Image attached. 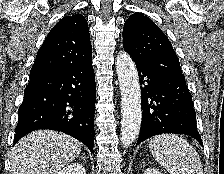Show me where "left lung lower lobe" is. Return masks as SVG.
<instances>
[{
	"label": "left lung lower lobe",
	"mask_w": 224,
	"mask_h": 174,
	"mask_svg": "<svg viewBox=\"0 0 224 174\" xmlns=\"http://www.w3.org/2000/svg\"><path fill=\"white\" fill-rule=\"evenodd\" d=\"M141 87L142 123L137 141L162 133H179L202 139L196 129L192 96L181 71L164 65L135 62Z\"/></svg>",
	"instance_id": "0a47b994"
}]
</instances>
